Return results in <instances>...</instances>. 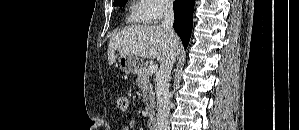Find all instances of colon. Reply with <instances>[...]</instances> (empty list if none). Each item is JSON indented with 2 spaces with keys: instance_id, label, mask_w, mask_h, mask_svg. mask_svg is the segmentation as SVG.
I'll list each match as a JSON object with an SVG mask.
<instances>
[{
  "instance_id": "obj_1",
  "label": "colon",
  "mask_w": 299,
  "mask_h": 130,
  "mask_svg": "<svg viewBox=\"0 0 299 130\" xmlns=\"http://www.w3.org/2000/svg\"><path fill=\"white\" fill-rule=\"evenodd\" d=\"M116 103H117V107L120 110L124 111L127 109L128 101L125 96H118Z\"/></svg>"
}]
</instances>
